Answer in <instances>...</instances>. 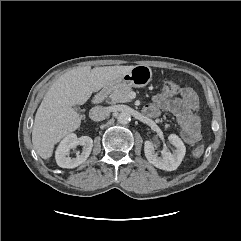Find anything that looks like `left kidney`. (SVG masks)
Masks as SVG:
<instances>
[{"label": "left kidney", "mask_w": 241, "mask_h": 241, "mask_svg": "<svg viewBox=\"0 0 241 241\" xmlns=\"http://www.w3.org/2000/svg\"><path fill=\"white\" fill-rule=\"evenodd\" d=\"M168 140L176 148L173 152H164L162 157H159L155 152L153 142L147 140L144 143V153L149 163L155 167L166 171H173L181 164L185 156L186 147L182 140L175 134H170Z\"/></svg>", "instance_id": "1"}]
</instances>
